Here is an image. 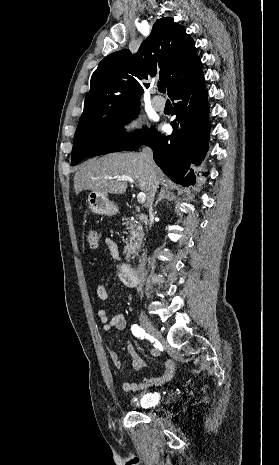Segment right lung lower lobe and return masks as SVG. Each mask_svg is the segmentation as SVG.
Returning a JSON list of instances; mask_svg holds the SVG:
<instances>
[{
    "mask_svg": "<svg viewBox=\"0 0 279 465\" xmlns=\"http://www.w3.org/2000/svg\"><path fill=\"white\" fill-rule=\"evenodd\" d=\"M170 97L176 100L172 134L165 136L157 131L144 144L153 149L156 164L171 180L189 186L195 183L191 166L199 165L208 149V94L203 75L186 82Z\"/></svg>",
    "mask_w": 279,
    "mask_h": 465,
    "instance_id": "right-lung-lower-lobe-1",
    "label": "right lung lower lobe"
}]
</instances>
